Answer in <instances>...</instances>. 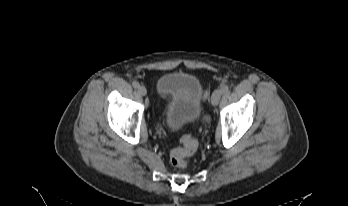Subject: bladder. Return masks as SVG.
Instances as JSON below:
<instances>
[{
    "label": "bladder",
    "instance_id": "bladder-1",
    "mask_svg": "<svg viewBox=\"0 0 348 206\" xmlns=\"http://www.w3.org/2000/svg\"><path fill=\"white\" fill-rule=\"evenodd\" d=\"M156 89L165 123L171 130L201 122L203 86L196 76L168 72L158 78Z\"/></svg>",
    "mask_w": 348,
    "mask_h": 206
}]
</instances>
